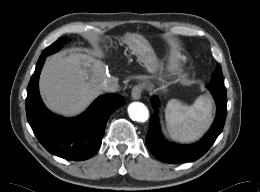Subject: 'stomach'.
<instances>
[{
    "label": "stomach",
    "mask_w": 260,
    "mask_h": 192,
    "mask_svg": "<svg viewBox=\"0 0 260 192\" xmlns=\"http://www.w3.org/2000/svg\"><path fill=\"white\" fill-rule=\"evenodd\" d=\"M130 49L133 53L138 55L140 61L145 65L150 60H155V54L151 48V46L148 44V42L138 35L131 36V39L128 42ZM167 86L162 84L159 88L161 91L166 92Z\"/></svg>",
    "instance_id": "0dacf381"
}]
</instances>
